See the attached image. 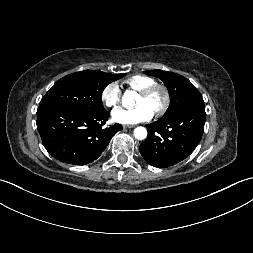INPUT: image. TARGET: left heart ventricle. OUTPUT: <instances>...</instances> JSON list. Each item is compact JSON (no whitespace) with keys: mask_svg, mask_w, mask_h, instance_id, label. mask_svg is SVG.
<instances>
[{"mask_svg":"<svg viewBox=\"0 0 253 253\" xmlns=\"http://www.w3.org/2000/svg\"><path fill=\"white\" fill-rule=\"evenodd\" d=\"M162 101L163 96L161 93H156L153 97L149 99L139 94L136 99V105L145 104L154 112L155 109L161 105Z\"/></svg>","mask_w":253,"mask_h":253,"instance_id":"obj_1","label":"left heart ventricle"}]
</instances>
